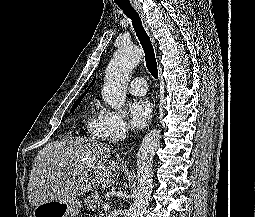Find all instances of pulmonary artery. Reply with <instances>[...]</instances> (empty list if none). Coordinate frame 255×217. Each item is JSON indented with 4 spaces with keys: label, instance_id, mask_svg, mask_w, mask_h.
<instances>
[{
    "label": "pulmonary artery",
    "instance_id": "e3ab8cb5",
    "mask_svg": "<svg viewBox=\"0 0 255 217\" xmlns=\"http://www.w3.org/2000/svg\"><path fill=\"white\" fill-rule=\"evenodd\" d=\"M148 90V86H147V82L143 77H135L130 81L129 84V91L133 94V95H144L147 93Z\"/></svg>",
    "mask_w": 255,
    "mask_h": 217
}]
</instances>
